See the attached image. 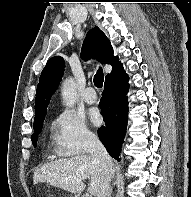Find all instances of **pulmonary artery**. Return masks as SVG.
<instances>
[{
  "mask_svg": "<svg viewBox=\"0 0 191 197\" xmlns=\"http://www.w3.org/2000/svg\"><path fill=\"white\" fill-rule=\"evenodd\" d=\"M83 99L88 104H93L97 100L96 93L92 87L86 88L83 94Z\"/></svg>",
  "mask_w": 191,
  "mask_h": 197,
  "instance_id": "1",
  "label": "pulmonary artery"
}]
</instances>
